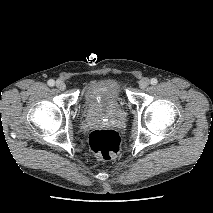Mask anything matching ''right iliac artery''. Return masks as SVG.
<instances>
[{
    "label": "right iliac artery",
    "instance_id": "1",
    "mask_svg": "<svg viewBox=\"0 0 213 213\" xmlns=\"http://www.w3.org/2000/svg\"><path fill=\"white\" fill-rule=\"evenodd\" d=\"M48 85L50 86V87H52V86H54V84H55V81L53 80V79H50V80H48Z\"/></svg>",
    "mask_w": 213,
    "mask_h": 213
}]
</instances>
